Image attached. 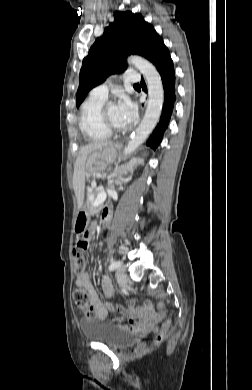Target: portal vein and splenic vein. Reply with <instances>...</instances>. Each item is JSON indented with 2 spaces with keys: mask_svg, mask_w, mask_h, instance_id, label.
Here are the masks:
<instances>
[{
  "mask_svg": "<svg viewBox=\"0 0 252 390\" xmlns=\"http://www.w3.org/2000/svg\"><path fill=\"white\" fill-rule=\"evenodd\" d=\"M97 190L99 191V194H98L96 201L93 203L94 206H98L106 198V193L104 192V189L102 186L98 187Z\"/></svg>",
  "mask_w": 252,
  "mask_h": 390,
  "instance_id": "18ae733b",
  "label": "portal vein and splenic vein"
}]
</instances>
